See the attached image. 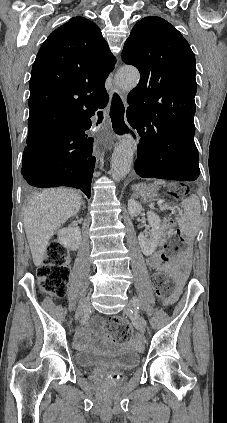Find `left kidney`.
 <instances>
[{
	"label": "left kidney",
	"mask_w": 227,
	"mask_h": 423,
	"mask_svg": "<svg viewBox=\"0 0 227 423\" xmlns=\"http://www.w3.org/2000/svg\"><path fill=\"white\" fill-rule=\"evenodd\" d=\"M128 211L130 215H139L142 206L136 200H128ZM147 219L151 229L150 231H141L138 241L144 255H152L159 243L161 219L154 211H147Z\"/></svg>",
	"instance_id": "left-kidney-1"
}]
</instances>
